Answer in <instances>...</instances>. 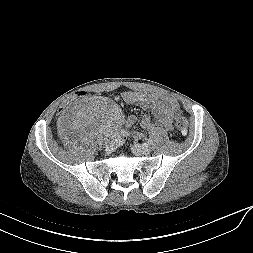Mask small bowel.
<instances>
[{"instance_id":"c3829d8e","label":"small bowel","mask_w":253,"mask_h":253,"mask_svg":"<svg viewBox=\"0 0 253 253\" xmlns=\"http://www.w3.org/2000/svg\"><path fill=\"white\" fill-rule=\"evenodd\" d=\"M122 99L127 104L138 105L142 109L152 111L154 120L150 114L143 115L141 120V127L146 131H153L156 128L171 130L174 120L181 112L179 102L171 97H159L150 93L127 91L122 94ZM136 120L135 116H130L124 122V126L130 128L136 123ZM134 135L139 138L141 133L135 132Z\"/></svg>"}]
</instances>
